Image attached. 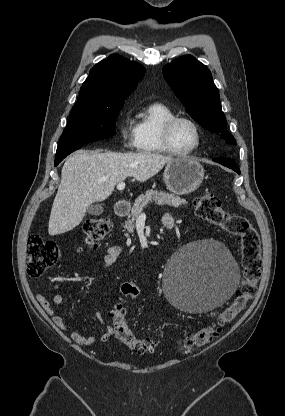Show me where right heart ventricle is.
<instances>
[{"label": "right heart ventricle", "mask_w": 285, "mask_h": 416, "mask_svg": "<svg viewBox=\"0 0 285 416\" xmlns=\"http://www.w3.org/2000/svg\"><path fill=\"white\" fill-rule=\"evenodd\" d=\"M173 110L163 101H153L136 116L138 150L147 154L167 153L161 131L166 120L174 116Z\"/></svg>", "instance_id": "e07e8e85"}]
</instances>
